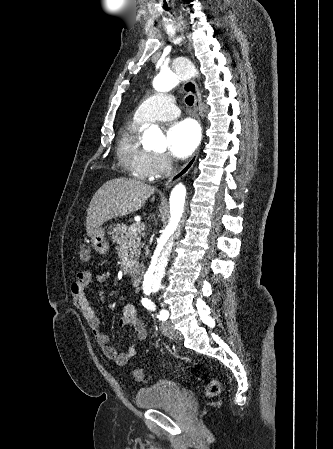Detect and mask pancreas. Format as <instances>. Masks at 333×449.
I'll return each mask as SVG.
<instances>
[{"label": "pancreas", "mask_w": 333, "mask_h": 449, "mask_svg": "<svg viewBox=\"0 0 333 449\" xmlns=\"http://www.w3.org/2000/svg\"><path fill=\"white\" fill-rule=\"evenodd\" d=\"M113 241L117 244H126L129 250V261L131 263H136L140 256V245L141 231L133 232L131 227L126 226L123 223L114 225L112 228Z\"/></svg>", "instance_id": "1"}]
</instances>
